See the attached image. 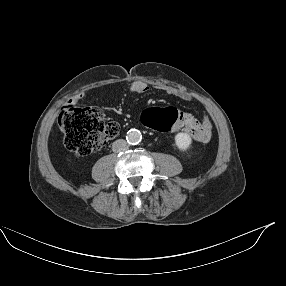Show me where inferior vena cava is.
<instances>
[{
  "mask_svg": "<svg viewBox=\"0 0 286 286\" xmlns=\"http://www.w3.org/2000/svg\"><path fill=\"white\" fill-rule=\"evenodd\" d=\"M127 149H128L127 142L123 139H118V140L114 141L112 144V150L116 153L121 152V151H125Z\"/></svg>",
  "mask_w": 286,
  "mask_h": 286,
  "instance_id": "1",
  "label": "inferior vena cava"
}]
</instances>
